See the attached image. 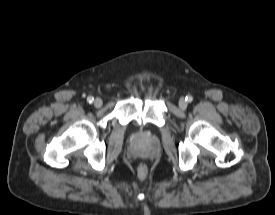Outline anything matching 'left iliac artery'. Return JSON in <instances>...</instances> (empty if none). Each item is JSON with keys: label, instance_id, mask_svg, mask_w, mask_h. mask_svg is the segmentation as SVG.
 <instances>
[{"label": "left iliac artery", "instance_id": "1", "mask_svg": "<svg viewBox=\"0 0 275 215\" xmlns=\"http://www.w3.org/2000/svg\"><path fill=\"white\" fill-rule=\"evenodd\" d=\"M185 100H186L187 102H192L193 97L190 96V95H188V96H186Z\"/></svg>", "mask_w": 275, "mask_h": 215}]
</instances>
